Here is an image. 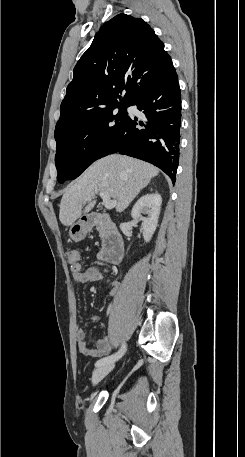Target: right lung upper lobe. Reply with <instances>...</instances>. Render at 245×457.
Returning a JSON list of instances; mask_svg holds the SVG:
<instances>
[{"instance_id":"cb5924a9","label":"right lung upper lobe","mask_w":245,"mask_h":457,"mask_svg":"<svg viewBox=\"0 0 245 457\" xmlns=\"http://www.w3.org/2000/svg\"><path fill=\"white\" fill-rule=\"evenodd\" d=\"M154 30L141 18L118 14L104 23L74 68L56 127L121 101L148 80L173 70Z\"/></svg>"}]
</instances>
